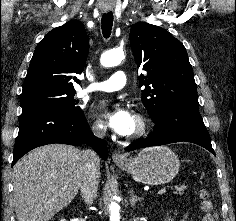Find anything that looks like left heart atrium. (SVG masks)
<instances>
[{"label":"left heart atrium","mask_w":236,"mask_h":221,"mask_svg":"<svg viewBox=\"0 0 236 221\" xmlns=\"http://www.w3.org/2000/svg\"><path fill=\"white\" fill-rule=\"evenodd\" d=\"M106 118L111 129L121 136L131 133L134 124V116L124 106L118 105L106 110Z\"/></svg>","instance_id":"39dd6f15"}]
</instances>
